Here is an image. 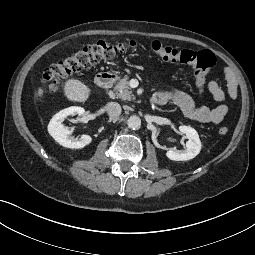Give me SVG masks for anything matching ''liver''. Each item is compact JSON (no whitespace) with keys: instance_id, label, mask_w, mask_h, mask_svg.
I'll list each match as a JSON object with an SVG mask.
<instances>
[{"instance_id":"1","label":"liver","mask_w":255,"mask_h":255,"mask_svg":"<svg viewBox=\"0 0 255 255\" xmlns=\"http://www.w3.org/2000/svg\"><path fill=\"white\" fill-rule=\"evenodd\" d=\"M63 92L69 101L85 102L90 96L91 90L88 86L77 79H69L63 85ZM44 95V89L39 87L35 92V98L41 99Z\"/></svg>"}]
</instances>
